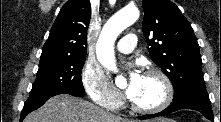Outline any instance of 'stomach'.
Returning a JSON list of instances; mask_svg holds the SVG:
<instances>
[{"mask_svg":"<svg viewBox=\"0 0 221 122\" xmlns=\"http://www.w3.org/2000/svg\"><path fill=\"white\" fill-rule=\"evenodd\" d=\"M150 122H174V121L171 119H167V118H158V119H154Z\"/></svg>","mask_w":221,"mask_h":122,"instance_id":"obj_1","label":"stomach"}]
</instances>
